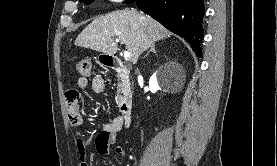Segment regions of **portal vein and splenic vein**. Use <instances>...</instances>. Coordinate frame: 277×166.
<instances>
[{
  "label": "portal vein and splenic vein",
  "mask_w": 277,
  "mask_h": 166,
  "mask_svg": "<svg viewBox=\"0 0 277 166\" xmlns=\"http://www.w3.org/2000/svg\"><path fill=\"white\" fill-rule=\"evenodd\" d=\"M115 42H116V43H119L120 40H119V39H115ZM131 58H132L131 53L128 52V51H124V59H125L126 61H129V60H131Z\"/></svg>",
  "instance_id": "18ae733b"
}]
</instances>
